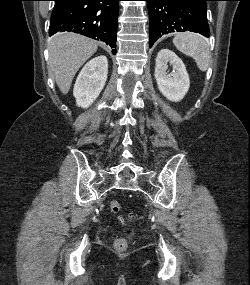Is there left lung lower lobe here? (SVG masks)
Returning <instances> with one entry per match:
<instances>
[{"label": "left lung lower lobe", "mask_w": 250, "mask_h": 285, "mask_svg": "<svg viewBox=\"0 0 250 285\" xmlns=\"http://www.w3.org/2000/svg\"><path fill=\"white\" fill-rule=\"evenodd\" d=\"M149 12V47L164 34L191 31L210 36L206 1L210 0H145Z\"/></svg>", "instance_id": "1"}]
</instances>
